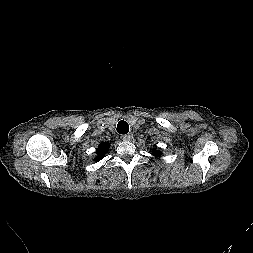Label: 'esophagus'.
<instances>
[{"mask_svg": "<svg viewBox=\"0 0 253 253\" xmlns=\"http://www.w3.org/2000/svg\"><path fill=\"white\" fill-rule=\"evenodd\" d=\"M132 138H133L132 134H126L121 136V139L124 141H130Z\"/></svg>", "mask_w": 253, "mask_h": 253, "instance_id": "1", "label": "esophagus"}]
</instances>
